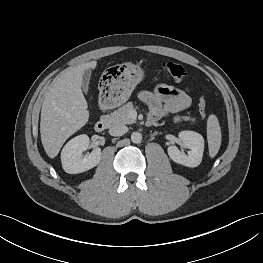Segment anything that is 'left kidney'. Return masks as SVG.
<instances>
[{
    "instance_id": "left-kidney-1",
    "label": "left kidney",
    "mask_w": 263,
    "mask_h": 263,
    "mask_svg": "<svg viewBox=\"0 0 263 263\" xmlns=\"http://www.w3.org/2000/svg\"><path fill=\"white\" fill-rule=\"evenodd\" d=\"M183 145L190 149L188 155L180 151L176 146H169L167 151L169 157L176 163L186 167H197L203 157L204 139L201 134L194 131H181L178 134Z\"/></svg>"
}]
</instances>
